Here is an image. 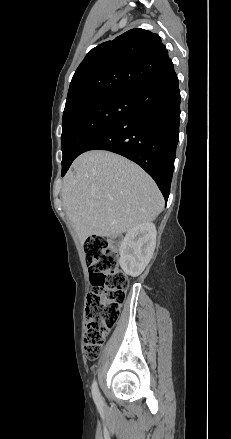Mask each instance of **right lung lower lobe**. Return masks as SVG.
Listing matches in <instances>:
<instances>
[{
    "instance_id": "98d812e1",
    "label": "right lung lower lobe",
    "mask_w": 231,
    "mask_h": 439,
    "mask_svg": "<svg viewBox=\"0 0 231 439\" xmlns=\"http://www.w3.org/2000/svg\"><path fill=\"white\" fill-rule=\"evenodd\" d=\"M134 97L135 110L92 135L79 155L99 149L134 161L154 179L167 201L180 121V90L174 69L139 88Z\"/></svg>"
}]
</instances>
